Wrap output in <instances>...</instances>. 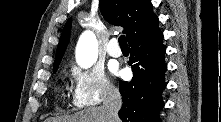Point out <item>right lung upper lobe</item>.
Here are the masks:
<instances>
[{
	"mask_svg": "<svg viewBox=\"0 0 221 122\" xmlns=\"http://www.w3.org/2000/svg\"><path fill=\"white\" fill-rule=\"evenodd\" d=\"M100 10L107 22L122 26L128 42L143 35L155 23L158 17L152 11L149 0H100ZM71 19L67 21L57 47L54 69L58 68L69 42Z\"/></svg>",
	"mask_w": 221,
	"mask_h": 122,
	"instance_id": "1",
	"label": "right lung upper lobe"
}]
</instances>
